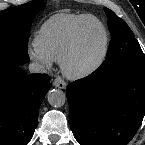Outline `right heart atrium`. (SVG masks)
<instances>
[{"instance_id":"right-heart-atrium-1","label":"right heart atrium","mask_w":145,"mask_h":145,"mask_svg":"<svg viewBox=\"0 0 145 145\" xmlns=\"http://www.w3.org/2000/svg\"><path fill=\"white\" fill-rule=\"evenodd\" d=\"M29 57L43 68H50L52 66V59L36 49L35 47L29 48Z\"/></svg>"}]
</instances>
